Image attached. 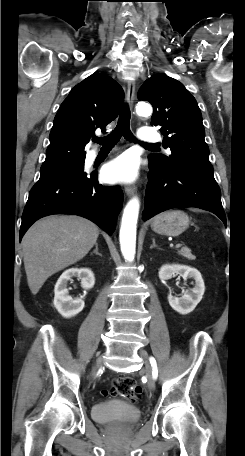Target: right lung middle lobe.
I'll return each instance as SVG.
<instances>
[{
    "label": "right lung middle lobe",
    "mask_w": 245,
    "mask_h": 456,
    "mask_svg": "<svg viewBox=\"0 0 245 456\" xmlns=\"http://www.w3.org/2000/svg\"><path fill=\"white\" fill-rule=\"evenodd\" d=\"M81 171H84V160H77L55 167L41 168L40 179L76 174Z\"/></svg>",
    "instance_id": "right-lung-middle-lobe-1"
}]
</instances>
